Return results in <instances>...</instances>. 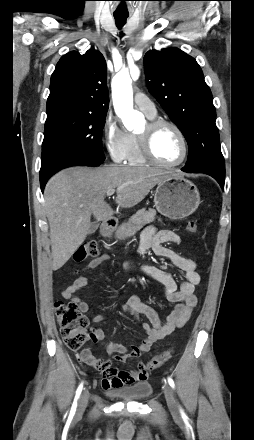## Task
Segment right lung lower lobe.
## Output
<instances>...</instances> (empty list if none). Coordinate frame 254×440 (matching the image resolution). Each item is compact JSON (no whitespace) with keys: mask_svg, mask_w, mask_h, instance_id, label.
<instances>
[{"mask_svg":"<svg viewBox=\"0 0 254 440\" xmlns=\"http://www.w3.org/2000/svg\"><path fill=\"white\" fill-rule=\"evenodd\" d=\"M47 180H48V179H40V186H41V190H42V192H43V189H44V186H45Z\"/></svg>","mask_w":254,"mask_h":440,"instance_id":"right-lung-lower-lobe-1","label":"right lung lower lobe"}]
</instances>
